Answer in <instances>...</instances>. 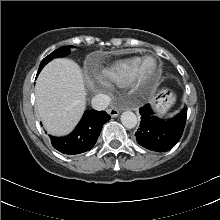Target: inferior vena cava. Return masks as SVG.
Masks as SVG:
<instances>
[{"mask_svg": "<svg viewBox=\"0 0 220 220\" xmlns=\"http://www.w3.org/2000/svg\"><path fill=\"white\" fill-rule=\"evenodd\" d=\"M110 97L105 94H97L91 100L92 107L96 110H103L110 104Z\"/></svg>", "mask_w": 220, "mask_h": 220, "instance_id": "1", "label": "inferior vena cava"}]
</instances>
